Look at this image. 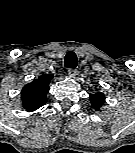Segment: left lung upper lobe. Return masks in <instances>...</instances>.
Returning <instances> with one entry per match:
<instances>
[{"mask_svg": "<svg viewBox=\"0 0 135 153\" xmlns=\"http://www.w3.org/2000/svg\"><path fill=\"white\" fill-rule=\"evenodd\" d=\"M92 107L98 111L105 102V95L101 92L90 95Z\"/></svg>", "mask_w": 135, "mask_h": 153, "instance_id": "5c2ea615", "label": "left lung upper lobe"}]
</instances>
